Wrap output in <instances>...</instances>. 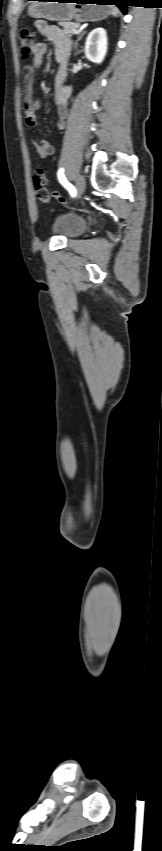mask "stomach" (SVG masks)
Instances as JSON below:
<instances>
[{
  "mask_svg": "<svg viewBox=\"0 0 162 851\" xmlns=\"http://www.w3.org/2000/svg\"><path fill=\"white\" fill-rule=\"evenodd\" d=\"M75 2V3H69ZM85 0H65L55 2H33L27 9V14L33 18H45L51 21L77 22L100 21L108 17L111 8L101 3Z\"/></svg>",
  "mask_w": 162,
  "mask_h": 851,
  "instance_id": "0dacf381",
  "label": "stomach"
}]
</instances>
